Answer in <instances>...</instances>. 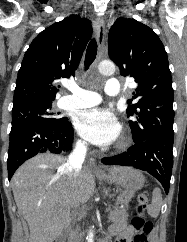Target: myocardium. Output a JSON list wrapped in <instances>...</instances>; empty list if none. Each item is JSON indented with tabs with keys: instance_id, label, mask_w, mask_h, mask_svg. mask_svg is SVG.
Here are the masks:
<instances>
[{
	"instance_id": "f54148a6",
	"label": "myocardium",
	"mask_w": 187,
	"mask_h": 242,
	"mask_svg": "<svg viewBox=\"0 0 187 242\" xmlns=\"http://www.w3.org/2000/svg\"><path fill=\"white\" fill-rule=\"evenodd\" d=\"M131 144V136L128 133H124L117 143L118 149H125Z\"/></svg>"
}]
</instances>
